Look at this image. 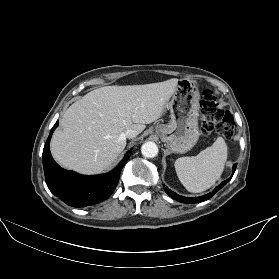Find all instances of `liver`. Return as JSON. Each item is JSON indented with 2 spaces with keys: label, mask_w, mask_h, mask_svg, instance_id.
<instances>
[{
  "label": "liver",
  "mask_w": 279,
  "mask_h": 279,
  "mask_svg": "<svg viewBox=\"0 0 279 279\" xmlns=\"http://www.w3.org/2000/svg\"><path fill=\"white\" fill-rule=\"evenodd\" d=\"M178 79L146 85L105 86L73 103L54 132L50 149L62 167L93 175L107 169L137 134L165 114Z\"/></svg>",
  "instance_id": "obj_1"
}]
</instances>
